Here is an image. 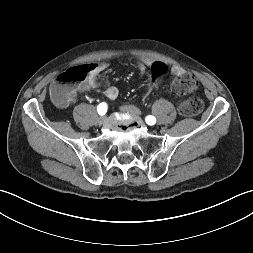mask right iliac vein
I'll use <instances>...</instances> for the list:
<instances>
[{"label":"right iliac vein","mask_w":253,"mask_h":253,"mask_svg":"<svg viewBox=\"0 0 253 253\" xmlns=\"http://www.w3.org/2000/svg\"><path fill=\"white\" fill-rule=\"evenodd\" d=\"M105 119H106L105 116H101V117L98 118V122H99L100 124H102V123H104Z\"/></svg>","instance_id":"obj_1"}]
</instances>
